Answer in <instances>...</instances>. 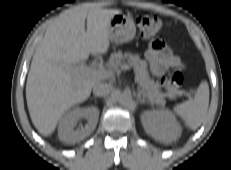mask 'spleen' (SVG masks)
Returning <instances> with one entry per match:
<instances>
[{
	"label": "spleen",
	"mask_w": 231,
	"mask_h": 170,
	"mask_svg": "<svg viewBox=\"0 0 231 170\" xmlns=\"http://www.w3.org/2000/svg\"><path fill=\"white\" fill-rule=\"evenodd\" d=\"M209 105V86L202 82L194 98H191L174 107V112L190 129H197L204 121Z\"/></svg>",
	"instance_id": "1"
}]
</instances>
